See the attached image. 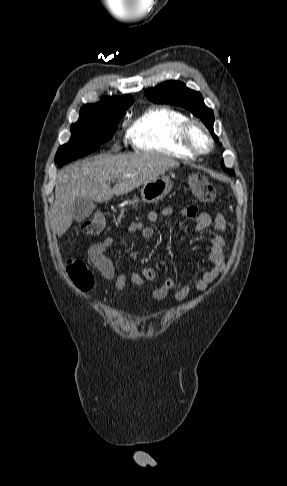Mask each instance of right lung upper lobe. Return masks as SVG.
<instances>
[{"instance_id":"obj_1","label":"right lung upper lobe","mask_w":287,"mask_h":486,"mask_svg":"<svg viewBox=\"0 0 287 486\" xmlns=\"http://www.w3.org/2000/svg\"><path fill=\"white\" fill-rule=\"evenodd\" d=\"M134 102L131 95L121 97H104L100 102L95 104H86L80 111L85 110H102L109 113H125V110Z\"/></svg>"}]
</instances>
